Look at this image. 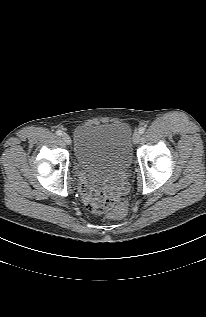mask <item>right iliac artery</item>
Instances as JSON below:
<instances>
[{
    "mask_svg": "<svg viewBox=\"0 0 206 317\" xmlns=\"http://www.w3.org/2000/svg\"><path fill=\"white\" fill-rule=\"evenodd\" d=\"M56 134H57L58 136H61V135H62V131H61V130H57V131H56Z\"/></svg>",
    "mask_w": 206,
    "mask_h": 317,
    "instance_id": "82829eb1",
    "label": "right iliac artery"
}]
</instances>
